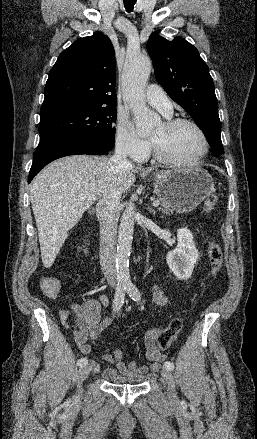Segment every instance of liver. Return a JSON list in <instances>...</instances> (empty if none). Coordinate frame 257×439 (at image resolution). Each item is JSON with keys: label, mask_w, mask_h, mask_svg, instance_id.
<instances>
[{"label": "liver", "mask_w": 257, "mask_h": 439, "mask_svg": "<svg viewBox=\"0 0 257 439\" xmlns=\"http://www.w3.org/2000/svg\"><path fill=\"white\" fill-rule=\"evenodd\" d=\"M137 172L107 157L73 155L49 164L34 178L30 199L45 268L53 265L69 230L92 205L93 200H78V196L101 199L113 189L122 194L134 184Z\"/></svg>", "instance_id": "6515ba94"}]
</instances>
